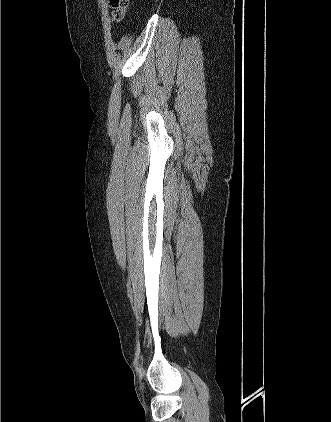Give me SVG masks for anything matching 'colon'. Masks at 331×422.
<instances>
[{
    "instance_id": "5ec220e1",
    "label": "colon",
    "mask_w": 331,
    "mask_h": 422,
    "mask_svg": "<svg viewBox=\"0 0 331 422\" xmlns=\"http://www.w3.org/2000/svg\"><path fill=\"white\" fill-rule=\"evenodd\" d=\"M129 0H108L109 7L112 9L114 20H122Z\"/></svg>"
}]
</instances>
